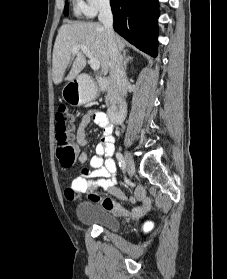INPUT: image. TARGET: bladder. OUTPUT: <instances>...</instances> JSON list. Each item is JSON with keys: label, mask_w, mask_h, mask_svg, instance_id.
<instances>
[{"label": "bladder", "mask_w": 227, "mask_h": 279, "mask_svg": "<svg viewBox=\"0 0 227 279\" xmlns=\"http://www.w3.org/2000/svg\"><path fill=\"white\" fill-rule=\"evenodd\" d=\"M76 218L83 225L98 226L110 233H118L121 229L119 218L111 215L99 203L92 200L79 205Z\"/></svg>", "instance_id": "31cf9c89"}]
</instances>
